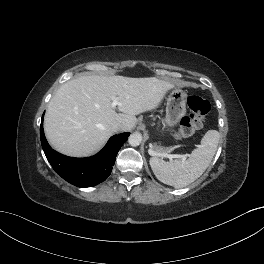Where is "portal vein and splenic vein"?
Here are the masks:
<instances>
[{
	"mask_svg": "<svg viewBox=\"0 0 264 264\" xmlns=\"http://www.w3.org/2000/svg\"><path fill=\"white\" fill-rule=\"evenodd\" d=\"M120 103L117 101L116 98L113 99L112 101V107L115 108L117 105H119ZM161 157H166L169 158L170 160H172L173 158H185L186 155H174V154H168V153H158L155 154Z\"/></svg>",
	"mask_w": 264,
	"mask_h": 264,
	"instance_id": "1",
	"label": "portal vein and splenic vein"
}]
</instances>
